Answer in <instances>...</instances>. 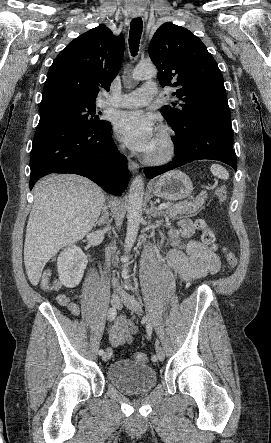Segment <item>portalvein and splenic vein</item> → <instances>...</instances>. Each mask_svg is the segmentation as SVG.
Instances as JSON below:
<instances>
[{
  "instance_id": "1",
  "label": "portal vein and splenic vein",
  "mask_w": 271,
  "mask_h": 443,
  "mask_svg": "<svg viewBox=\"0 0 271 443\" xmlns=\"http://www.w3.org/2000/svg\"><path fill=\"white\" fill-rule=\"evenodd\" d=\"M169 204H160V206H158V210H165V208H168Z\"/></svg>"
}]
</instances>
